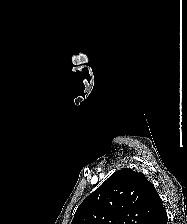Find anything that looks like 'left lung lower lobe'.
<instances>
[{
	"label": "left lung lower lobe",
	"mask_w": 187,
	"mask_h": 224,
	"mask_svg": "<svg viewBox=\"0 0 187 224\" xmlns=\"http://www.w3.org/2000/svg\"><path fill=\"white\" fill-rule=\"evenodd\" d=\"M167 222H168V217L164 209V206L162 204L160 211L155 216V218L150 222V224H167Z\"/></svg>",
	"instance_id": "0a47b994"
}]
</instances>
